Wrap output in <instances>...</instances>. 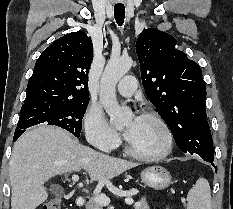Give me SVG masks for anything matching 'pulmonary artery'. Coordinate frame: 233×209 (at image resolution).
I'll return each mask as SVG.
<instances>
[{
    "mask_svg": "<svg viewBox=\"0 0 233 209\" xmlns=\"http://www.w3.org/2000/svg\"><path fill=\"white\" fill-rule=\"evenodd\" d=\"M137 88V81L134 76H124L117 85V91L125 97L132 96Z\"/></svg>",
    "mask_w": 233,
    "mask_h": 209,
    "instance_id": "1",
    "label": "pulmonary artery"
}]
</instances>
